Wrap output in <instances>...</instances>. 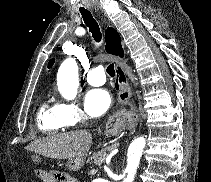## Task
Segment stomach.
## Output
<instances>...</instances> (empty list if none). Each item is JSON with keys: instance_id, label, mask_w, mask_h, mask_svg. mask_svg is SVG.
<instances>
[{"instance_id": "0dacf381", "label": "stomach", "mask_w": 211, "mask_h": 182, "mask_svg": "<svg viewBox=\"0 0 211 182\" xmlns=\"http://www.w3.org/2000/svg\"><path fill=\"white\" fill-rule=\"evenodd\" d=\"M112 133V132H111ZM84 165V158H72L67 162V167L70 171H78Z\"/></svg>"}]
</instances>
